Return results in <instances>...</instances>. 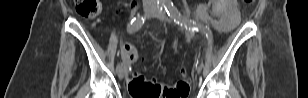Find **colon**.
I'll return each instance as SVG.
<instances>
[{
    "instance_id": "obj_1",
    "label": "colon",
    "mask_w": 308,
    "mask_h": 98,
    "mask_svg": "<svg viewBox=\"0 0 308 98\" xmlns=\"http://www.w3.org/2000/svg\"><path fill=\"white\" fill-rule=\"evenodd\" d=\"M254 0H244L246 5H250ZM124 6L120 5L118 10ZM76 12L87 19H93L101 13V3L99 0H76ZM125 59L135 62L138 56L133 52L129 44L123 45ZM130 92L135 98H185L189 92V81L183 73L179 80L171 87H162L146 80L138 71L133 74V79L129 83Z\"/></svg>"
}]
</instances>
